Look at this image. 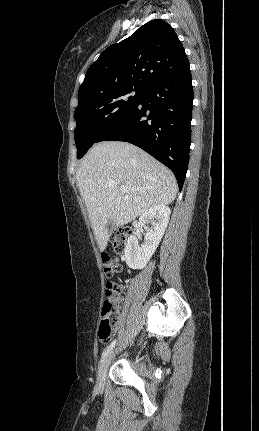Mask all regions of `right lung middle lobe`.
Listing matches in <instances>:
<instances>
[{
    "label": "right lung middle lobe",
    "instance_id": "dd1d6c3e",
    "mask_svg": "<svg viewBox=\"0 0 259 431\" xmlns=\"http://www.w3.org/2000/svg\"><path fill=\"white\" fill-rule=\"evenodd\" d=\"M145 89L125 87L90 96L78 104L74 137L80 159L99 138L119 122L143 96Z\"/></svg>",
    "mask_w": 259,
    "mask_h": 431
}]
</instances>
